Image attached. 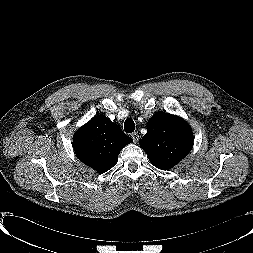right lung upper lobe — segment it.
I'll list each match as a JSON object with an SVG mask.
<instances>
[{"label":"right lung upper lobe","instance_id":"1","mask_svg":"<svg viewBox=\"0 0 253 253\" xmlns=\"http://www.w3.org/2000/svg\"><path fill=\"white\" fill-rule=\"evenodd\" d=\"M132 141L117 124L98 115L77 130L73 148L80 161L104 173L116 164L120 150Z\"/></svg>","mask_w":253,"mask_h":253}]
</instances>
